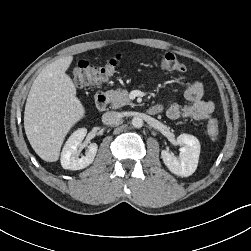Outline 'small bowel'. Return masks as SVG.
<instances>
[{"label":"small bowel","instance_id":"obj_1","mask_svg":"<svg viewBox=\"0 0 251 251\" xmlns=\"http://www.w3.org/2000/svg\"><path fill=\"white\" fill-rule=\"evenodd\" d=\"M204 86L200 81L190 83L184 90L186 104L173 103L166 109V115L171 120L180 117L194 120L208 119L213 111L214 104L212 101L203 100ZM161 107V111L163 107Z\"/></svg>","mask_w":251,"mask_h":251}]
</instances>
